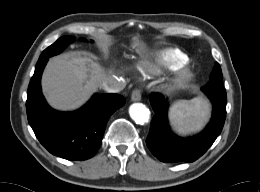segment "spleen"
I'll list each match as a JSON object with an SVG mask.
<instances>
[{
    "label": "spleen",
    "mask_w": 260,
    "mask_h": 192,
    "mask_svg": "<svg viewBox=\"0 0 260 192\" xmlns=\"http://www.w3.org/2000/svg\"><path fill=\"white\" fill-rule=\"evenodd\" d=\"M210 114L209 103L202 97L191 101H177L169 110V120L173 130L186 135L201 130Z\"/></svg>",
    "instance_id": "3e777b00"
}]
</instances>
